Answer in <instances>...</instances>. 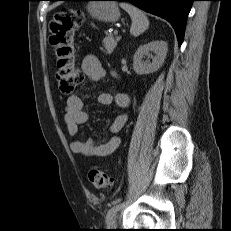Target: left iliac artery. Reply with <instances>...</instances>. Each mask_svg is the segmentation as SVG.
<instances>
[{
    "label": "left iliac artery",
    "mask_w": 231,
    "mask_h": 231,
    "mask_svg": "<svg viewBox=\"0 0 231 231\" xmlns=\"http://www.w3.org/2000/svg\"><path fill=\"white\" fill-rule=\"evenodd\" d=\"M124 204L123 203H119L115 206H113L107 213V216H106V221L108 222L110 220V218L117 212L119 211V209L123 206Z\"/></svg>",
    "instance_id": "44dca946"
}]
</instances>
